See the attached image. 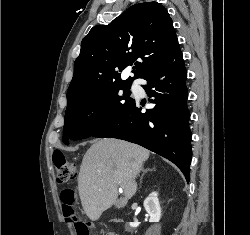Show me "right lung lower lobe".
Returning a JSON list of instances; mask_svg holds the SVG:
<instances>
[{"label": "right lung lower lobe", "instance_id": "obj_1", "mask_svg": "<svg viewBox=\"0 0 250 235\" xmlns=\"http://www.w3.org/2000/svg\"><path fill=\"white\" fill-rule=\"evenodd\" d=\"M142 79L148 83L143 88L154 97L155 107L142 113L140 103L133 99L119 116L93 136L139 144L175 163L189 181L192 150L190 113L186 106L187 72L178 40L168 56Z\"/></svg>", "mask_w": 250, "mask_h": 235}]
</instances>
